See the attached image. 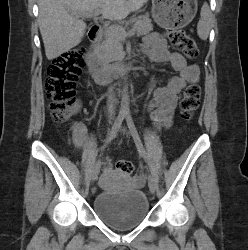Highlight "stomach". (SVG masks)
Instances as JSON below:
<instances>
[{
	"instance_id": "obj_1",
	"label": "stomach",
	"mask_w": 248,
	"mask_h": 250,
	"mask_svg": "<svg viewBox=\"0 0 248 250\" xmlns=\"http://www.w3.org/2000/svg\"><path fill=\"white\" fill-rule=\"evenodd\" d=\"M197 0H152V18L162 28H182L197 13Z\"/></svg>"
}]
</instances>
